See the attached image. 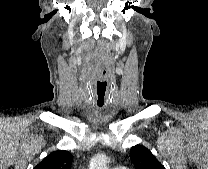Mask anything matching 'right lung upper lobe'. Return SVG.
I'll return each mask as SVG.
<instances>
[{"mask_svg": "<svg viewBox=\"0 0 208 169\" xmlns=\"http://www.w3.org/2000/svg\"><path fill=\"white\" fill-rule=\"evenodd\" d=\"M73 155L66 150L50 153L34 169H71Z\"/></svg>", "mask_w": 208, "mask_h": 169, "instance_id": "right-lung-upper-lobe-1", "label": "right lung upper lobe"}]
</instances>
